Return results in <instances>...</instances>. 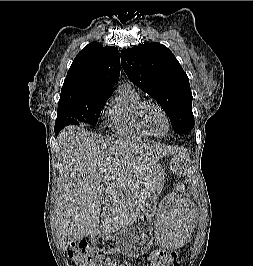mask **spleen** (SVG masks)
Wrapping results in <instances>:
<instances>
[{"label": "spleen", "instance_id": "1", "mask_svg": "<svg viewBox=\"0 0 253 266\" xmlns=\"http://www.w3.org/2000/svg\"><path fill=\"white\" fill-rule=\"evenodd\" d=\"M186 160H176V169H186ZM174 199H195V190H174ZM194 219H197V210L190 207H159L153 218V232L156 246L167 248H186L188 242H194Z\"/></svg>", "mask_w": 253, "mask_h": 266}]
</instances>
